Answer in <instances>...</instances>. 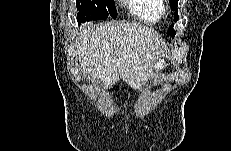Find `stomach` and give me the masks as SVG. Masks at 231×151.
<instances>
[{
  "label": "stomach",
  "mask_w": 231,
  "mask_h": 151,
  "mask_svg": "<svg viewBox=\"0 0 231 151\" xmlns=\"http://www.w3.org/2000/svg\"><path fill=\"white\" fill-rule=\"evenodd\" d=\"M167 61L164 57L159 58L156 63L154 64V67L150 73L149 78L143 83L144 86H148L149 83L152 82V78L157 76L158 74H161L164 69L167 67Z\"/></svg>",
  "instance_id": "stomach-1"
}]
</instances>
